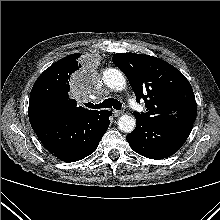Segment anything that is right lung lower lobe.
I'll return each instance as SVG.
<instances>
[{
    "label": "right lung lower lobe",
    "instance_id": "obj_1",
    "mask_svg": "<svg viewBox=\"0 0 220 220\" xmlns=\"http://www.w3.org/2000/svg\"><path fill=\"white\" fill-rule=\"evenodd\" d=\"M110 111H94L80 117L52 112L29 115L30 123L44 147L65 162L92 154L109 126Z\"/></svg>",
    "mask_w": 220,
    "mask_h": 220
}]
</instances>
